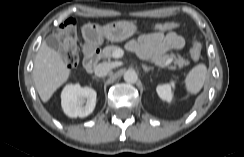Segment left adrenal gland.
<instances>
[{"mask_svg":"<svg viewBox=\"0 0 244 157\" xmlns=\"http://www.w3.org/2000/svg\"><path fill=\"white\" fill-rule=\"evenodd\" d=\"M142 68L145 73H148L150 70H153V67H148L145 64H142Z\"/></svg>","mask_w":244,"mask_h":157,"instance_id":"1","label":"left adrenal gland"}]
</instances>
